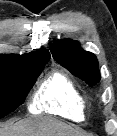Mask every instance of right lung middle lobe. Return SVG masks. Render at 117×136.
Masks as SVG:
<instances>
[{
    "mask_svg": "<svg viewBox=\"0 0 117 136\" xmlns=\"http://www.w3.org/2000/svg\"><path fill=\"white\" fill-rule=\"evenodd\" d=\"M48 59L31 64L0 63V118L13 112L24 100Z\"/></svg>",
    "mask_w": 117,
    "mask_h": 136,
    "instance_id": "1",
    "label": "right lung middle lobe"
}]
</instances>
